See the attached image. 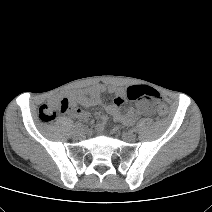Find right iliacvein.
Listing matches in <instances>:
<instances>
[{"label": "right iliac vein", "instance_id": "right-iliac-vein-1", "mask_svg": "<svg viewBox=\"0 0 212 212\" xmlns=\"http://www.w3.org/2000/svg\"><path fill=\"white\" fill-rule=\"evenodd\" d=\"M81 134H82V131H81V130H75V131L73 132V135L76 136V137L81 136Z\"/></svg>", "mask_w": 212, "mask_h": 212}]
</instances>
